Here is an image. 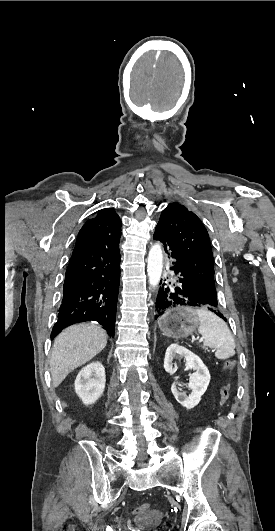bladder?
Masks as SVG:
<instances>
[{"label":"bladder","mask_w":275,"mask_h":531,"mask_svg":"<svg viewBox=\"0 0 275 531\" xmlns=\"http://www.w3.org/2000/svg\"><path fill=\"white\" fill-rule=\"evenodd\" d=\"M164 513L154 507L144 513H137L136 520L140 523L138 531H155V526L162 523Z\"/></svg>","instance_id":"bladder-1"}]
</instances>
